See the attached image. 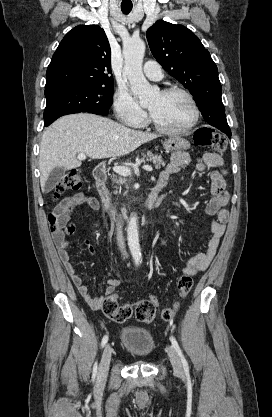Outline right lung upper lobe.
I'll return each instance as SVG.
<instances>
[{"mask_svg": "<svg viewBox=\"0 0 272 417\" xmlns=\"http://www.w3.org/2000/svg\"><path fill=\"white\" fill-rule=\"evenodd\" d=\"M110 54L109 42L101 27L76 26L64 36L52 57L45 91L113 85Z\"/></svg>", "mask_w": 272, "mask_h": 417, "instance_id": "right-lung-upper-lobe-1", "label": "right lung upper lobe"}]
</instances>
